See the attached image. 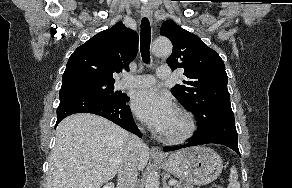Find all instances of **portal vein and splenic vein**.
Masks as SVG:
<instances>
[{
	"mask_svg": "<svg viewBox=\"0 0 292 188\" xmlns=\"http://www.w3.org/2000/svg\"><path fill=\"white\" fill-rule=\"evenodd\" d=\"M175 184H177V180H175V179L169 180V185H175Z\"/></svg>",
	"mask_w": 292,
	"mask_h": 188,
	"instance_id": "portal-vein-and-splenic-vein-1",
	"label": "portal vein and splenic vein"
}]
</instances>
